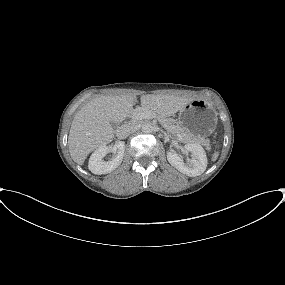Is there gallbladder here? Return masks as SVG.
I'll use <instances>...</instances> for the list:
<instances>
[{
  "mask_svg": "<svg viewBox=\"0 0 285 285\" xmlns=\"http://www.w3.org/2000/svg\"><path fill=\"white\" fill-rule=\"evenodd\" d=\"M111 125L113 126V127H115L116 125H115V123H113V122H111Z\"/></svg>",
  "mask_w": 285,
  "mask_h": 285,
  "instance_id": "1",
  "label": "gallbladder"
}]
</instances>
